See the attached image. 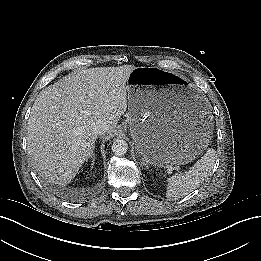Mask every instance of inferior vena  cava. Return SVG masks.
<instances>
[{
  "label": "inferior vena cava",
  "mask_w": 261,
  "mask_h": 261,
  "mask_svg": "<svg viewBox=\"0 0 261 261\" xmlns=\"http://www.w3.org/2000/svg\"><path fill=\"white\" fill-rule=\"evenodd\" d=\"M108 128L104 122H96L92 126V131L96 136L104 135L107 132Z\"/></svg>",
  "instance_id": "1"
}]
</instances>
